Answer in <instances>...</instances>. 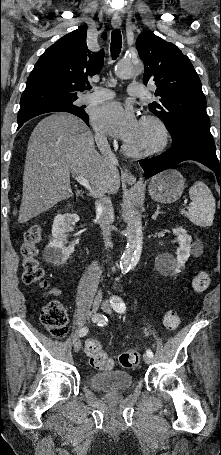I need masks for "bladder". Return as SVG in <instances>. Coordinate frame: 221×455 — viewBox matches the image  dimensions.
I'll use <instances>...</instances> for the list:
<instances>
[{
    "label": "bladder",
    "instance_id": "obj_1",
    "mask_svg": "<svg viewBox=\"0 0 221 455\" xmlns=\"http://www.w3.org/2000/svg\"><path fill=\"white\" fill-rule=\"evenodd\" d=\"M88 385L96 391L119 392L130 390L134 385V380L131 374L124 371H103L90 374Z\"/></svg>",
    "mask_w": 221,
    "mask_h": 455
}]
</instances>
